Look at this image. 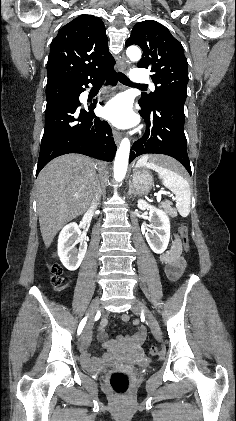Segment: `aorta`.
<instances>
[{"label":"aorta","instance_id":"aorta-1","mask_svg":"<svg viewBox=\"0 0 236 421\" xmlns=\"http://www.w3.org/2000/svg\"><path fill=\"white\" fill-rule=\"evenodd\" d=\"M126 54L129 56L130 60H139V58H141V50L138 46H128ZM129 152L130 140L129 138H123L119 144L114 160V178L117 182L123 180L127 172Z\"/></svg>","mask_w":236,"mask_h":421}]
</instances>
